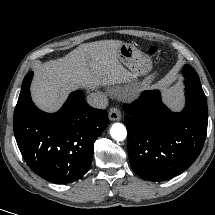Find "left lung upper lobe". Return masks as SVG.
I'll return each mask as SVG.
<instances>
[{
	"mask_svg": "<svg viewBox=\"0 0 215 215\" xmlns=\"http://www.w3.org/2000/svg\"><path fill=\"white\" fill-rule=\"evenodd\" d=\"M183 76L187 80L194 81V82H200L199 76L194 71V69H192L191 67H189L187 65L184 66Z\"/></svg>",
	"mask_w": 215,
	"mask_h": 215,
	"instance_id": "1",
	"label": "left lung upper lobe"
}]
</instances>
